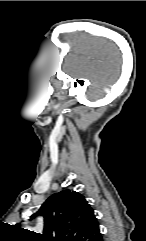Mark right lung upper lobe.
Listing matches in <instances>:
<instances>
[{"instance_id":"cb5924a9","label":"right lung upper lobe","mask_w":146,"mask_h":241,"mask_svg":"<svg viewBox=\"0 0 146 241\" xmlns=\"http://www.w3.org/2000/svg\"><path fill=\"white\" fill-rule=\"evenodd\" d=\"M36 215L44 217L38 241H101L99 224L84 196L64 190L49 197Z\"/></svg>"}]
</instances>
